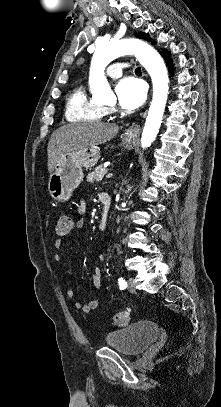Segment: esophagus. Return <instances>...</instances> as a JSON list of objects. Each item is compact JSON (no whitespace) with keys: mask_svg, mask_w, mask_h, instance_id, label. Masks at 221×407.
<instances>
[{"mask_svg":"<svg viewBox=\"0 0 221 407\" xmlns=\"http://www.w3.org/2000/svg\"><path fill=\"white\" fill-rule=\"evenodd\" d=\"M139 130H140V126L139 125H134V126H131L128 129L127 134L130 135V136H133V135L138 134Z\"/></svg>","mask_w":221,"mask_h":407,"instance_id":"34e87169","label":"esophagus"}]
</instances>
